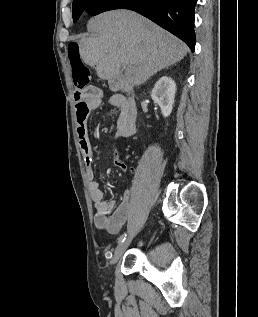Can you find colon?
<instances>
[{"label": "colon", "instance_id": "5ec220e1", "mask_svg": "<svg viewBox=\"0 0 258 317\" xmlns=\"http://www.w3.org/2000/svg\"><path fill=\"white\" fill-rule=\"evenodd\" d=\"M67 56L75 88L85 89L91 83L92 74L89 67L83 62L80 46L77 42H70L68 44Z\"/></svg>", "mask_w": 258, "mask_h": 317}]
</instances>
